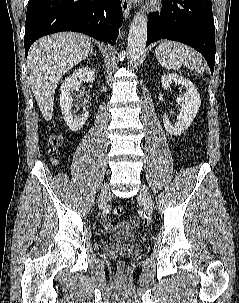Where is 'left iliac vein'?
I'll use <instances>...</instances> for the list:
<instances>
[{
  "label": "left iliac vein",
  "mask_w": 239,
  "mask_h": 303,
  "mask_svg": "<svg viewBox=\"0 0 239 303\" xmlns=\"http://www.w3.org/2000/svg\"><path fill=\"white\" fill-rule=\"evenodd\" d=\"M139 198L143 201V205L146 213L150 215L153 211V202L149 194V191L145 186L141 187Z\"/></svg>",
  "instance_id": "obj_1"
}]
</instances>
